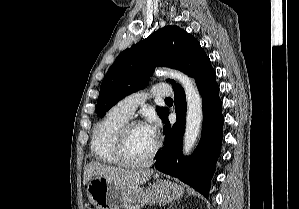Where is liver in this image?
<instances>
[{
  "instance_id": "6515ba94",
  "label": "liver",
  "mask_w": 299,
  "mask_h": 209,
  "mask_svg": "<svg viewBox=\"0 0 299 209\" xmlns=\"http://www.w3.org/2000/svg\"><path fill=\"white\" fill-rule=\"evenodd\" d=\"M152 174V170H129L90 162L84 170L83 184L86 185L92 177L99 176L117 185L140 186L147 182Z\"/></svg>"
}]
</instances>
